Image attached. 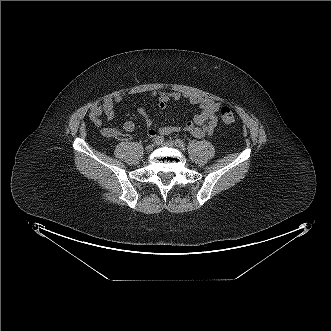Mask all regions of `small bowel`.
I'll return each mask as SVG.
<instances>
[{
  "label": "small bowel",
  "instance_id": "small-bowel-1",
  "mask_svg": "<svg viewBox=\"0 0 331 331\" xmlns=\"http://www.w3.org/2000/svg\"><path fill=\"white\" fill-rule=\"evenodd\" d=\"M144 95L150 98H156L157 105L161 110L167 109L170 103L177 102L182 98L201 109V112L196 114L192 121L187 122L183 127L165 125L155 128L148 111L144 107H138L137 112L144 117L146 133L150 137L156 138L157 136H166L175 132L184 131L196 138H203L211 135L218 124V111L221 107V103L213 99L194 94H180L175 91L153 90ZM122 100L123 96L121 95L107 96L101 103L95 104L90 111V120L92 123L100 127L102 125V114L106 116L107 120H113L115 116V104L120 103ZM134 129L135 124L132 121H126L120 128H103L102 133L106 137L129 140L131 137L126 133H131Z\"/></svg>",
  "mask_w": 331,
  "mask_h": 331
}]
</instances>
